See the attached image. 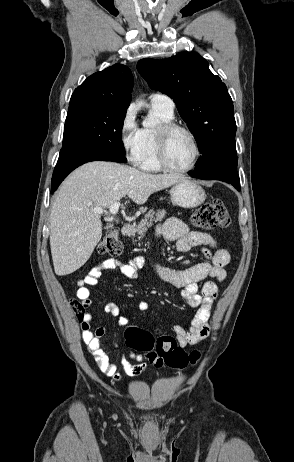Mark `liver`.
Instances as JSON below:
<instances>
[{
	"label": "liver",
	"mask_w": 294,
	"mask_h": 462,
	"mask_svg": "<svg viewBox=\"0 0 294 462\" xmlns=\"http://www.w3.org/2000/svg\"><path fill=\"white\" fill-rule=\"evenodd\" d=\"M178 173L150 174L112 162L94 161L62 183L50 214V247L56 275L71 274L90 258L102 237L100 214L124 196L144 204L151 194L184 179Z\"/></svg>",
	"instance_id": "liver-1"
}]
</instances>
